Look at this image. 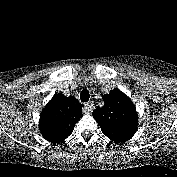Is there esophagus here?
<instances>
[{
  "instance_id": "1",
  "label": "esophagus",
  "mask_w": 177,
  "mask_h": 177,
  "mask_svg": "<svg viewBox=\"0 0 177 177\" xmlns=\"http://www.w3.org/2000/svg\"><path fill=\"white\" fill-rule=\"evenodd\" d=\"M93 107L94 106L92 102H86L83 107V112L85 114H90L92 112Z\"/></svg>"
}]
</instances>
